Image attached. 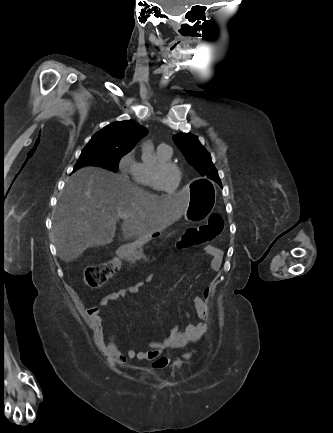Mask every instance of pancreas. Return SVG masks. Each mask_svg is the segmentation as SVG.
Segmentation results:
<instances>
[{
    "label": "pancreas",
    "instance_id": "obj_1",
    "mask_svg": "<svg viewBox=\"0 0 333 433\" xmlns=\"http://www.w3.org/2000/svg\"><path fill=\"white\" fill-rule=\"evenodd\" d=\"M150 238H141L138 239L134 244H130L125 246L124 254L128 261L135 262L144 257L142 246L147 243Z\"/></svg>",
    "mask_w": 333,
    "mask_h": 433
}]
</instances>
